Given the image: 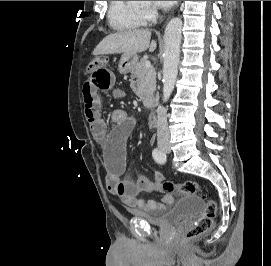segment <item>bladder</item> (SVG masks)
Returning <instances> with one entry per match:
<instances>
[{
    "instance_id": "1",
    "label": "bladder",
    "mask_w": 271,
    "mask_h": 266,
    "mask_svg": "<svg viewBox=\"0 0 271 266\" xmlns=\"http://www.w3.org/2000/svg\"><path fill=\"white\" fill-rule=\"evenodd\" d=\"M204 206V202L198 195H187L179 202L155 216L139 211H131L134 218H139L153 226L164 227L178 222L185 217L199 211Z\"/></svg>"
}]
</instances>
